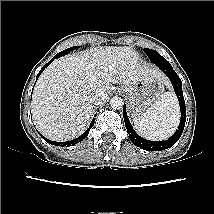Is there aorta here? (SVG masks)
<instances>
[{
    "mask_svg": "<svg viewBox=\"0 0 214 214\" xmlns=\"http://www.w3.org/2000/svg\"><path fill=\"white\" fill-rule=\"evenodd\" d=\"M123 104H124L123 99L118 96H113L110 100V105L115 110L122 108Z\"/></svg>",
    "mask_w": 214,
    "mask_h": 214,
    "instance_id": "1",
    "label": "aorta"
}]
</instances>
